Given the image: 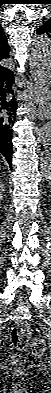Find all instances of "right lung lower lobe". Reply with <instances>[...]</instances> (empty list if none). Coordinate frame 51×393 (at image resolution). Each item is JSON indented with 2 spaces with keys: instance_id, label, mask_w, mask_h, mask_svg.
I'll return each instance as SVG.
<instances>
[{
  "instance_id": "1",
  "label": "right lung lower lobe",
  "mask_w": 51,
  "mask_h": 393,
  "mask_svg": "<svg viewBox=\"0 0 51 393\" xmlns=\"http://www.w3.org/2000/svg\"><path fill=\"white\" fill-rule=\"evenodd\" d=\"M4 81L7 82L3 89ZM14 83L13 72L0 79V154H2L12 168V126L16 120L15 110L17 103L14 98L11 101L6 100L7 93H12V84Z\"/></svg>"
}]
</instances>
